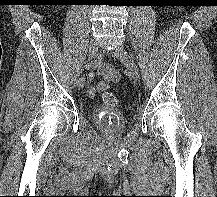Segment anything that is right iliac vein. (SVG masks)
<instances>
[{"mask_svg": "<svg viewBox=\"0 0 217 197\" xmlns=\"http://www.w3.org/2000/svg\"><path fill=\"white\" fill-rule=\"evenodd\" d=\"M97 53H98V44L94 39H91L90 44H89V49H88V61H87V63L93 62V60L97 56ZM84 84H85V77L82 76L77 81L78 89H82Z\"/></svg>", "mask_w": 217, "mask_h": 197, "instance_id": "63e3f726", "label": "right iliac vein"}]
</instances>
